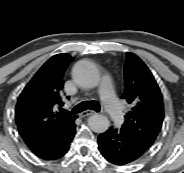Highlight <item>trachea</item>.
<instances>
[{"instance_id": "3493384b", "label": "trachea", "mask_w": 184, "mask_h": 173, "mask_svg": "<svg viewBox=\"0 0 184 173\" xmlns=\"http://www.w3.org/2000/svg\"><path fill=\"white\" fill-rule=\"evenodd\" d=\"M87 109H91V110H95L96 112H99L100 111V104L97 102V101H83L81 103H79L78 105H76L72 111L68 112V111H65L66 114H77V113H80V112H83Z\"/></svg>"}]
</instances>
